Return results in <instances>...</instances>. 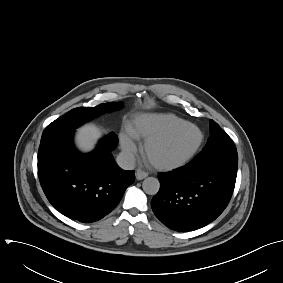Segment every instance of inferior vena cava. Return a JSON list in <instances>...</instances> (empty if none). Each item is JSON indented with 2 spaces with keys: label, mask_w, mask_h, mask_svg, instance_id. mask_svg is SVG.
<instances>
[{
  "label": "inferior vena cava",
  "mask_w": 283,
  "mask_h": 283,
  "mask_svg": "<svg viewBox=\"0 0 283 283\" xmlns=\"http://www.w3.org/2000/svg\"><path fill=\"white\" fill-rule=\"evenodd\" d=\"M117 164L125 170H132L135 167V157L130 152H121L116 158Z\"/></svg>",
  "instance_id": "inferior-vena-cava-1"
}]
</instances>
